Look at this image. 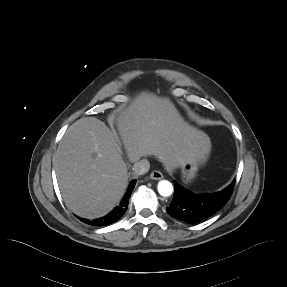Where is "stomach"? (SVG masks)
I'll use <instances>...</instances> for the list:
<instances>
[{
	"mask_svg": "<svg viewBox=\"0 0 287 287\" xmlns=\"http://www.w3.org/2000/svg\"><path fill=\"white\" fill-rule=\"evenodd\" d=\"M182 173V181L185 184L190 183L196 176L198 170V159L196 156L186 158L179 166Z\"/></svg>",
	"mask_w": 287,
	"mask_h": 287,
	"instance_id": "1",
	"label": "stomach"
}]
</instances>
